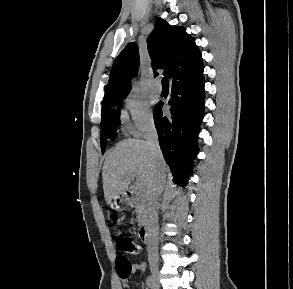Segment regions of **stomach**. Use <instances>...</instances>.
<instances>
[{
    "label": "stomach",
    "instance_id": "0dacf381",
    "mask_svg": "<svg viewBox=\"0 0 293 289\" xmlns=\"http://www.w3.org/2000/svg\"><path fill=\"white\" fill-rule=\"evenodd\" d=\"M127 203H128V200H127V198H124V195H117L114 198V205L118 209H123L125 207V205H127Z\"/></svg>",
    "mask_w": 293,
    "mask_h": 289
}]
</instances>
